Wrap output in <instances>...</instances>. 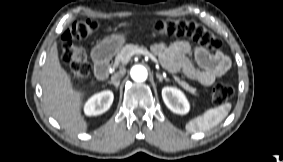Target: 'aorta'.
Wrapping results in <instances>:
<instances>
[{"mask_svg":"<svg viewBox=\"0 0 283 162\" xmlns=\"http://www.w3.org/2000/svg\"><path fill=\"white\" fill-rule=\"evenodd\" d=\"M131 77L136 82H143L147 79L148 73L144 66L135 65L131 69Z\"/></svg>","mask_w":283,"mask_h":162,"instance_id":"762f6f07","label":"aorta"}]
</instances>
